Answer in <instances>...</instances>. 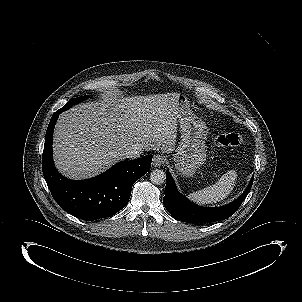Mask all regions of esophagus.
Instances as JSON below:
<instances>
[{
	"label": "esophagus",
	"mask_w": 302,
	"mask_h": 302,
	"mask_svg": "<svg viewBox=\"0 0 302 302\" xmlns=\"http://www.w3.org/2000/svg\"><path fill=\"white\" fill-rule=\"evenodd\" d=\"M164 162H165V158H164V156H162L160 154L154 155V157L152 159V165L154 167H160L164 164Z\"/></svg>",
	"instance_id": "1"
}]
</instances>
